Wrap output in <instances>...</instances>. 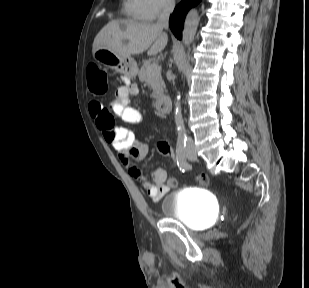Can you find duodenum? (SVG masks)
I'll return each instance as SVG.
<instances>
[{
	"label": "duodenum",
	"mask_w": 309,
	"mask_h": 288,
	"mask_svg": "<svg viewBox=\"0 0 309 288\" xmlns=\"http://www.w3.org/2000/svg\"><path fill=\"white\" fill-rule=\"evenodd\" d=\"M157 109L163 113H168L171 109V101L168 97H160L156 100Z\"/></svg>",
	"instance_id": "obj_1"
}]
</instances>
